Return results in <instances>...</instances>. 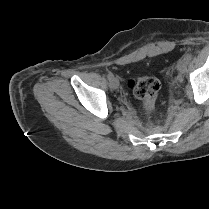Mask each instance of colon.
Instances as JSON below:
<instances>
[{"label":"colon","mask_w":209,"mask_h":209,"mask_svg":"<svg viewBox=\"0 0 209 209\" xmlns=\"http://www.w3.org/2000/svg\"><path fill=\"white\" fill-rule=\"evenodd\" d=\"M134 95L142 101L143 109L146 112L155 110L160 82L154 77H139L129 82Z\"/></svg>","instance_id":"5ec220e1"}]
</instances>
